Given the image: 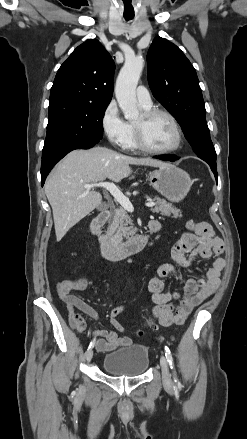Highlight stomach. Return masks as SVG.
<instances>
[{
    "label": "stomach",
    "instance_id": "obj_1",
    "mask_svg": "<svg viewBox=\"0 0 247 439\" xmlns=\"http://www.w3.org/2000/svg\"><path fill=\"white\" fill-rule=\"evenodd\" d=\"M149 181L154 189L171 202L183 200L192 186L189 174L170 164L150 172Z\"/></svg>",
    "mask_w": 247,
    "mask_h": 439
}]
</instances>
